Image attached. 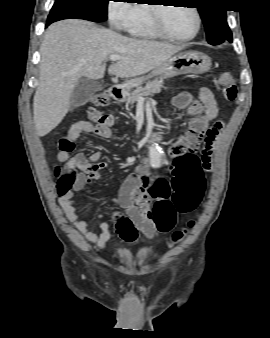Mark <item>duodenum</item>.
<instances>
[{
  "label": "duodenum",
  "instance_id": "duodenum-1",
  "mask_svg": "<svg viewBox=\"0 0 270 338\" xmlns=\"http://www.w3.org/2000/svg\"><path fill=\"white\" fill-rule=\"evenodd\" d=\"M124 88L121 85H115L110 88L108 95L113 100H119L123 97ZM156 136H160V132L156 133Z\"/></svg>",
  "mask_w": 270,
  "mask_h": 338
}]
</instances>
